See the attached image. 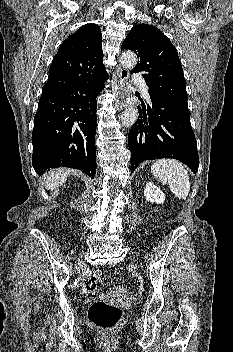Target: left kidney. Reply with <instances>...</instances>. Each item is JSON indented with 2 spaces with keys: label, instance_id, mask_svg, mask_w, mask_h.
<instances>
[{
  "label": "left kidney",
  "instance_id": "left-kidney-1",
  "mask_svg": "<svg viewBox=\"0 0 233 352\" xmlns=\"http://www.w3.org/2000/svg\"><path fill=\"white\" fill-rule=\"evenodd\" d=\"M144 196L146 197V200L151 203L155 202L161 204L165 201L164 193L152 182L146 183Z\"/></svg>",
  "mask_w": 233,
  "mask_h": 352
}]
</instances>
